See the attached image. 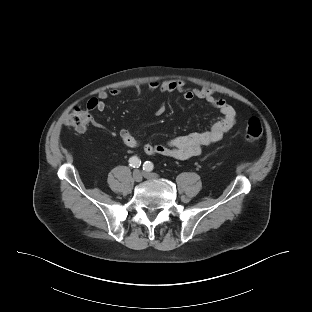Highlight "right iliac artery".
<instances>
[{
    "label": "right iliac artery",
    "mask_w": 312,
    "mask_h": 312,
    "mask_svg": "<svg viewBox=\"0 0 312 312\" xmlns=\"http://www.w3.org/2000/svg\"><path fill=\"white\" fill-rule=\"evenodd\" d=\"M129 165L130 166H132V167H136V168H138V167H140V165H141V160L138 158V157H136V156H133V157H131L130 159H129Z\"/></svg>",
    "instance_id": "1"
}]
</instances>
